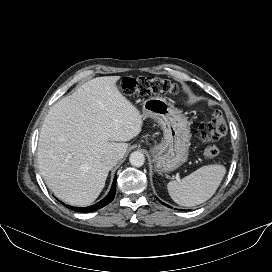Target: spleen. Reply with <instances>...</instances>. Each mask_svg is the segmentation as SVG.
Returning <instances> with one entry per match:
<instances>
[{"label": "spleen", "instance_id": "spleen-1", "mask_svg": "<svg viewBox=\"0 0 272 272\" xmlns=\"http://www.w3.org/2000/svg\"><path fill=\"white\" fill-rule=\"evenodd\" d=\"M225 173L226 168L223 165H206L181 180L170 181L167 189L178 205L196 206L214 195Z\"/></svg>", "mask_w": 272, "mask_h": 272}]
</instances>
